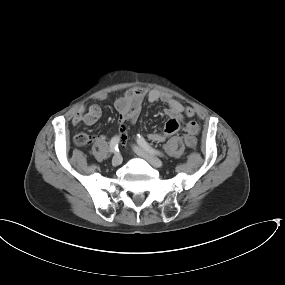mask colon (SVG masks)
Listing matches in <instances>:
<instances>
[{
	"mask_svg": "<svg viewBox=\"0 0 285 285\" xmlns=\"http://www.w3.org/2000/svg\"><path fill=\"white\" fill-rule=\"evenodd\" d=\"M194 113H195V111H194V108H193V107L187 106V107L185 108V114H186V116L191 117V116L194 115ZM89 142H90V138H89V136H88L87 134H85V133H80V134H78V135L76 136V138H75V143H76L78 146H81V147L87 145Z\"/></svg>",
	"mask_w": 285,
	"mask_h": 285,
	"instance_id": "5ec220e1",
	"label": "colon"
}]
</instances>
